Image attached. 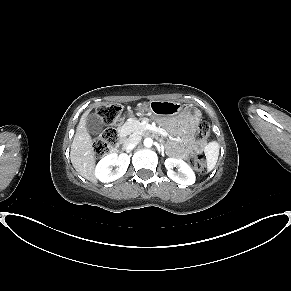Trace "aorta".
<instances>
[{
    "instance_id": "obj_1",
    "label": "aorta",
    "mask_w": 291,
    "mask_h": 291,
    "mask_svg": "<svg viewBox=\"0 0 291 291\" xmlns=\"http://www.w3.org/2000/svg\"><path fill=\"white\" fill-rule=\"evenodd\" d=\"M153 145V140L151 138H145L144 139V146L147 148L152 147Z\"/></svg>"
}]
</instances>
